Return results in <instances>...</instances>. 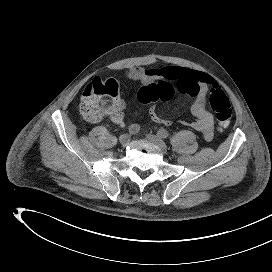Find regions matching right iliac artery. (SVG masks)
Returning a JSON list of instances; mask_svg holds the SVG:
<instances>
[{"mask_svg":"<svg viewBox=\"0 0 272 272\" xmlns=\"http://www.w3.org/2000/svg\"><path fill=\"white\" fill-rule=\"evenodd\" d=\"M139 130H140V126L138 124H132L128 128V131L130 134H137Z\"/></svg>","mask_w":272,"mask_h":272,"instance_id":"1","label":"right iliac artery"}]
</instances>
